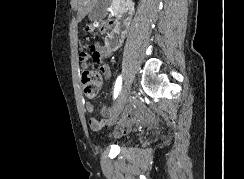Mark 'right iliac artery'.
Instances as JSON below:
<instances>
[{
	"instance_id": "1",
	"label": "right iliac artery",
	"mask_w": 244,
	"mask_h": 179,
	"mask_svg": "<svg viewBox=\"0 0 244 179\" xmlns=\"http://www.w3.org/2000/svg\"><path fill=\"white\" fill-rule=\"evenodd\" d=\"M121 85H122V77L121 75L118 76L116 83H115V88H114V98H116L121 90Z\"/></svg>"
}]
</instances>
